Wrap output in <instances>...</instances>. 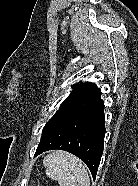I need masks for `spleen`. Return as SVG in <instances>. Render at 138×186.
<instances>
[{
    "label": "spleen",
    "instance_id": "1",
    "mask_svg": "<svg viewBox=\"0 0 138 186\" xmlns=\"http://www.w3.org/2000/svg\"><path fill=\"white\" fill-rule=\"evenodd\" d=\"M43 164L46 175L60 186H90L85 165L67 152L54 151L44 158Z\"/></svg>",
    "mask_w": 138,
    "mask_h": 186
}]
</instances>
